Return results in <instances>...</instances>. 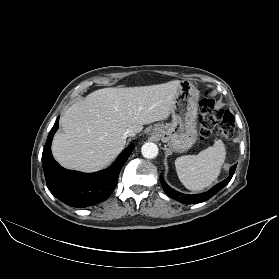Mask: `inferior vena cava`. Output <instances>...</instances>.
<instances>
[{"instance_id": "obj_1", "label": "inferior vena cava", "mask_w": 279, "mask_h": 279, "mask_svg": "<svg viewBox=\"0 0 279 279\" xmlns=\"http://www.w3.org/2000/svg\"><path fill=\"white\" fill-rule=\"evenodd\" d=\"M125 134L128 137H133V136L136 135V133L133 130H130V129H128Z\"/></svg>"}]
</instances>
